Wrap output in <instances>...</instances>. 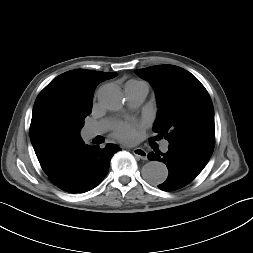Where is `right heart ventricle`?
<instances>
[{
	"instance_id": "right-heart-ventricle-1",
	"label": "right heart ventricle",
	"mask_w": 253,
	"mask_h": 253,
	"mask_svg": "<svg viewBox=\"0 0 253 253\" xmlns=\"http://www.w3.org/2000/svg\"><path fill=\"white\" fill-rule=\"evenodd\" d=\"M129 83H143V82H139V81L131 80V81H129L127 84H129Z\"/></svg>"
}]
</instances>
